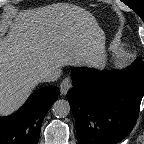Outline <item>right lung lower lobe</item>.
I'll return each instance as SVG.
<instances>
[{
  "label": "right lung lower lobe",
  "instance_id": "1",
  "mask_svg": "<svg viewBox=\"0 0 144 144\" xmlns=\"http://www.w3.org/2000/svg\"><path fill=\"white\" fill-rule=\"evenodd\" d=\"M58 95V87H43L14 114L0 117V144H37L43 119Z\"/></svg>",
  "mask_w": 144,
  "mask_h": 144
}]
</instances>
